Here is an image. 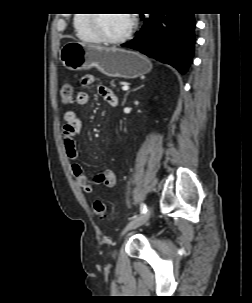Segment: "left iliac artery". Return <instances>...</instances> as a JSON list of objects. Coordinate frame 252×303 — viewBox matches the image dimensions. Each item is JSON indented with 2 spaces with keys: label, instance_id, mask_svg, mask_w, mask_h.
<instances>
[{
  "label": "left iliac artery",
  "instance_id": "44dca946",
  "mask_svg": "<svg viewBox=\"0 0 252 303\" xmlns=\"http://www.w3.org/2000/svg\"><path fill=\"white\" fill-rule=\"evenodd\" d=\"M140 211H141V213H144V212H146V211H147V206H146V204L141 203V206H140Z\"/></svg>",
  "mask_w": 252,
  "mask_h": 303
}]
</instances>
